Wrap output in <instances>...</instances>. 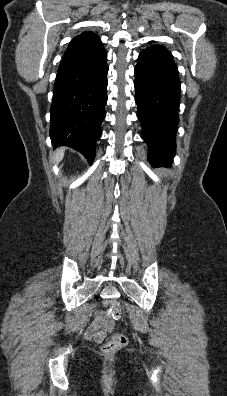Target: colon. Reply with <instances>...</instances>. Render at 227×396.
I'll return each instance as SVG.
<instances>
[{
  "instance_id": "5ec220e1",
  "label": "colon",
  "mask_w": 227,
  "mask_h": 396,
  "mask_svg": "<svg viewBox=\"0 0 227 396\" xmlns=\"http://www.w3.org/2000/svg\"><path fill=\"white\" fill-rule=\"evenodd\" d=\"M122 313V304L119 300H114L111 302L110 307L108 309L109 316L114 319L118 320L121 317ZM127 337L122 333H116L113 335L111 340L106 342L102 350L106 354H112L119 350L120 348L124 347L127 344Z\"/></svg>"
}]
</instances>
